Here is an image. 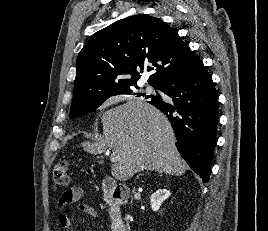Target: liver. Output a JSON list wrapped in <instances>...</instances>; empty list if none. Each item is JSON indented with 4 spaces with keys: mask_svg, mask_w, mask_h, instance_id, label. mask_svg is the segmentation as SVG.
<instances>
[{
    "mask_svg": "<svg viewBox=\"0 0 268 231\" xmlns=\"http://www.w3.org/2000/svg\"><path fill=\"white\" fill-rule=\"evenodd\" d=\"M103 135L95 142H84V150L99 154L113 148L119 157L112 176L125 182L143 170L181 176L187 164L180 156L168 119L153 105L140 99L105 111L101 117ZM113 156V155H112Z\"/></svg>",
    "mask_w": 268,
    "mask_h": 231,
    "instance_id": "liver-1",
    "label": "liver"
}]
</instances>
